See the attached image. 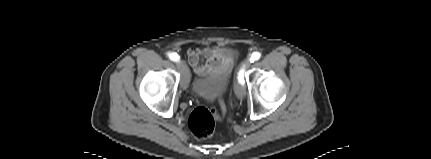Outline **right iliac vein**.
Listing matches in <instances>:
<instances>
[{
    "mask_svg": "<svg viewBox=\"0 0 431 159\" xmlns=\"http://www.w3.org/2000/svg\"><path fill=\"white\" fill-rule=\"evenodd\" d=\"M177 67L179 69H181L182 72H183V77H182V80H181V88L183 90H186L188 88L189 81H190V75H189L188 68H187L186 64L183 61H179L177 63Z\"/></svg>",
    "mask_w": 431,
    "mask_h": 159,
    "instance_id": "obj_1",
    "label": "right iliac vein"
}]
</instances>
